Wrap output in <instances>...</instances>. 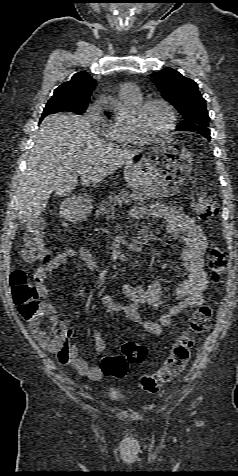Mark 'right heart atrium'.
Here are the masks:
<instances>
[{"mask_svg":"<svg viewBox=\"0 0 238 476\" xmlns=\"http://www.w3.org/2000/svg\"><path fill=\"white\" fill-rule=\"evenodd\" d=\"M99 110V104L94 103L89 109H88V117L94 127L102 134H105V123L99 119L96 114Z\"/></svg>","mask_w":238,"mask_h":476,"instance_id":"right-heart-atrium-1","label":"right heart atrium"}]
</instances>
